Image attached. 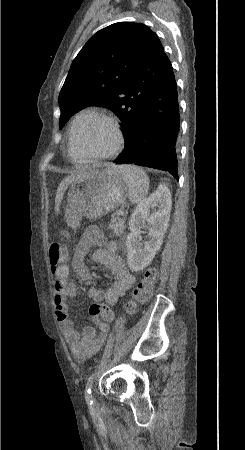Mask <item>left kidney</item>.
<instances>
[{
    "label": "left kidney",
    "mask_w": 245,
    "mask_h": 450,
    "mask_svg": "<svg viewBox=\"0 0 245 450\" xmlns=\"http://www.w3.org/2000/svg\"><path fill=\"white\" fill-rule=\"evenodd\" d=\"M171 193L168 187L161 184L148 198L142 200L129 220L130 233L126 238L127 262L131 271L143 270L153 260L163 243L171 212ZM149 239L142 242V229H146Z\"/></svg>",
    "instance_id": "left-kidney-1"
}]
</instances>
